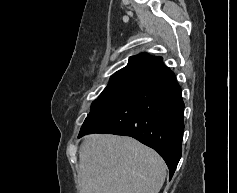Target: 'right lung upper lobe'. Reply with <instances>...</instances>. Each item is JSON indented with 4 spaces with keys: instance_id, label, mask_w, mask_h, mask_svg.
Segmentation results:
<instances>
[{
    "instance_id": "1",
    "label": "right lung upper lobe",
    "mask_w": 237,
    "mask_h": 193,
    "mask_svg": "<svg viewBox=\"0 0 237 193\" xmlns=\"http://www.w3.org/2000/svg\"><path fill=\"white\" fill-rule=\"evenodd\" d=\"M158 58L159 57L150 56L146 53L131 56L128 60L127 66L114 73L113 76L124 74L130 71H145L147 67L153 62H155Z\"/></svg>"
}]
</instances>
